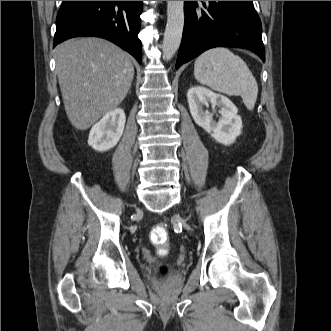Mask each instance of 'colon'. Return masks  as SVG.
Listing matches in <instances>:
<instances>
[{
  "mask_svg": "<svg viewBox=\"0 0 331 331\" xmlns=\"http://www.w3.org/2000/svg\"><path fill=\"white\" fill-rule=\"evenodd\" d=\"M150 241L160 247V253H165V248L169 241V232L164 225L154 226L149 234ZM171 269L167 264H160L155 270V279L162 291H166V284L170 278Z\"/></svg>",
  "mask_w": 331,
  "mask_h": 331,
  "instance_id": "colon-1",
  "label": "colon"
}]
</instances>
